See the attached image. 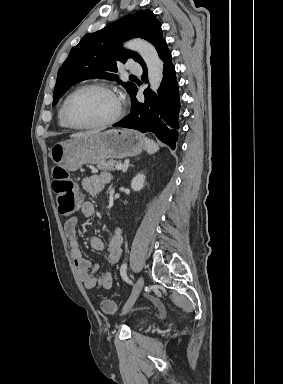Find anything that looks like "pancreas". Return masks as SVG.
I'll return each instance as SVG.
<instances>
[{
  "label": "pancreas",
  "instance_id": "obj_1",
  "mask_svg": "<svg viewBox=\"0 0 283 384\" xmlns=\"http://www.w3.org/2000/svg\"><path fill=\"white\" fill-rule=\"evenodd\" d=\"M120 162H115V160H109V162H100L96 168L98 170H102V172H112V170H116V166H118Z\"/></svg>",
  "mask_w": 283,
  "mask_h": 384
}]
</instances>
